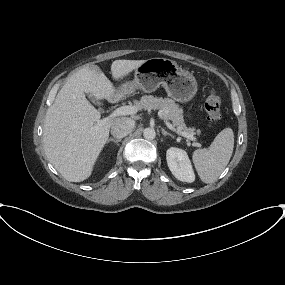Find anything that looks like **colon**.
<instances>
[{
  "mask_svg": "<svg viewBox=\"0 0 285 285\" xmlns=\"http://www.w3.org/2000/svg\"><path fill=\"white\" fill-rule=\"evenodd\" d=\"M205 110L207 112V118L209 121L216 123L221 118L220 113V106H221V99L215 93L212 92L209 97L205 101Z\"/></svg>",
  "mask_w": 285,
  "mask_h": 285,
  "instance_id": "colon-1",
  "label": "colon"
}]
</instances>
